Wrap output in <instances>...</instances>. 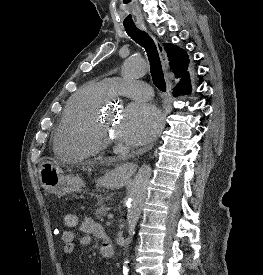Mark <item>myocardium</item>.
Instances as JSON below:
<instances>
[{
	"label": "myocardium",
	"mask_w": 263,
	"mask_h": 275,
	"mask_svg": "<svg viewBox=\"0 0 263 275\" xmlns=\"http://www.w3.org/2000/svg\"><path fill=\"white\" fill-rule=\"evenodd\" d=\"M83 138L99 150L106 149L117 143L115 136L106 133L103 126V116L100 111L87 123L83 131Z\"/></svg>",
	"instance_id": "obj_1"
}]
</instances>
